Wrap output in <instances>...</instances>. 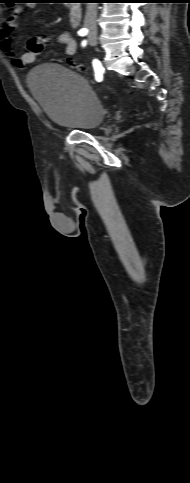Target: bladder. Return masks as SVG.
I'll return each mask as SVG.
<instances>
[{
  "label": "bladder",
  "instance_id": "31cf9c89",
  "mask_svg": "<svg viewBox=\"0 0 190 483\" xmlns=\"http://www.w3.org/2000/svg\"><path fill=\"white\" fill-rule=\"evenodd\" d=\"M28 87L48 118L75 130H91L105 118L103 104L85 79L56 63L33 69Z\"/></svg>",
  "mask_w": 190,
  "mask_h": 483
}]
</instances>
